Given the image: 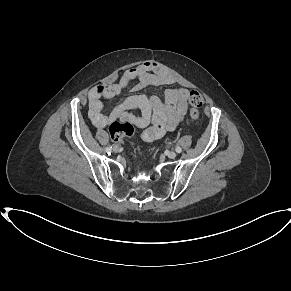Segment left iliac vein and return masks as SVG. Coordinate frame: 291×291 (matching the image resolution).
Instances as JSON below:
<instances>
[{"mask_svg": "<svg viewBox=\"0 0 291 291\" xmlns=\"http://www.w3.org/2000/svg\"><path fill=\"white\" fill-rule=\"evenodd\" d=\"M167 156L171 159H174V158H176L177 154L173 151H170L167 153Z\"/></svg>", "mask_w": 291, "mask_h": 291, "instance_id": "obj_1", "label": "left iliac vein"}]
</instances>
